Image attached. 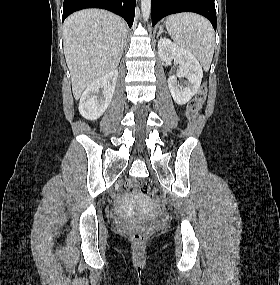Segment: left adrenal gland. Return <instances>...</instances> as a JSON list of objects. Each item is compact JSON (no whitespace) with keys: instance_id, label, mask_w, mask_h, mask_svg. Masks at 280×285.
<instances>
[{"instance_id":"left-adrenal-gland-1","label":"left adrenal gland","mask_w":280,"mask_h":285,"mask_svg":"<svg viewBox=\"0 0 280 285\" xmlns=\"http://www.w3.org/2000/svg\"><path fill=\"white\" fill-rule=\"evenodd\" d=\"M163 32V26L160 27L158 33H157V37H159L161 35V33Z\"/></svg>"}]
</instances>
